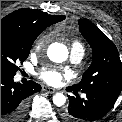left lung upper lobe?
<instances>
[{
  "label": "left lung upper lobe",
  "mask_w": 122,
  "mask_h": 122,
  "mask_svg": "<svg viewBox=\"0 0 122 122\" xmlns=\"http://www.w3.org/2000/svg\"><path fill=\"white\" fill-rule=\"evenodd\" d=\"M79 30L92 48L93 60L73 90L103 91L119 95L122 89V63L114 43L93 23L79 19Z\"/></svg>",
  "instance_id": "1"
}]
</instances>
